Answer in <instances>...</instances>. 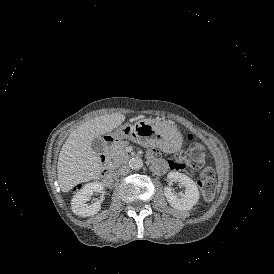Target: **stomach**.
<instances>
[{
    "label": "stomach",
    "instance_id": "0dacf381",
    "mask_svg": "<svg viewBox=\"0 0 274 274\" xmlns=\"http://www.w3.org/2000/svg\"><path fill=\"white\" fill-rule=\"evenodd\" d=\"M109 135L114 143L129 139L143 147L157 146L168 153L177 151L181 146V138L175 127L159 119L143 118L133 125L125 123Z\"/></svg>",
    "mask_w": 274,
    "mask_h": 274
}]
</instances>
